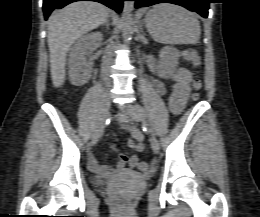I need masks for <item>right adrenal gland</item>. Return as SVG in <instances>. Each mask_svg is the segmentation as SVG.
Listing matches in <instances>:
<instances>
[{
  "label": "right adrenal gland",
  "mask_w": 260,
  "mask_h": 217,
  "mask_svg": "<svg viewBox=\"0 0 260 217\" xmlns=\"http://www.w3.org/2000/svg\"><path fill=\"white\" fill-rule=\"evenodd\" d=\"M102 26H106L107 29L109 28V18L107 19V21L104 24H102Z\"/></svg>",
  "instance_id": "1"
}]
</instances>
